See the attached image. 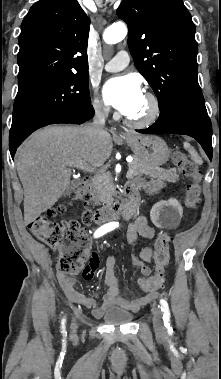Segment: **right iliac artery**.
I'll return each mask as SVG.
<instances>
[{"instance_id":"obj_1","label":"right iliac artery","mask_w":221,"mask_h":379,"mask_svg":"<svg viewBox=\"0 0 221 379\" xmlns=\"http://www.w3.org/2000/svg\"><path fill=\"white\" fill-rule=\"evenodd\" d=\"M117 227V224L116 223H108V224H105L103 226H101L100 228H98L95 233H94V237L95 238H98V237H101L103 236L104 234L114 230L115 228ZM64 322H65V319L62 320V325H64ZM63 327V333H65V330H64V326Z\"/></svg>"}]
</instances>
